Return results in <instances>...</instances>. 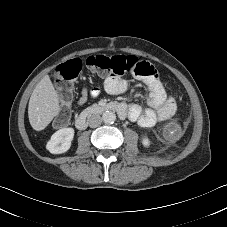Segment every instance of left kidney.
Instances as JSON below:
<instances>
[{
  "instance_id": "obj_1",
  "label": "left kidney",
  "mask_w": 227,
  "mask_h": 227,
  "mask_svg": "<svg viewBox=\"0 0 227 227\" xmlns=\"http://www.w3.org/2000/svg\"><path fill=\"white\" fill-rule=\"evenodd\" d=\"M142 144L145 146V147H149L150 146V141L148 138L144 137L142 138Z\"/></svg>"
}]
</instances>
